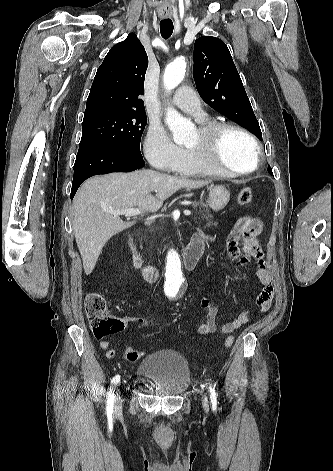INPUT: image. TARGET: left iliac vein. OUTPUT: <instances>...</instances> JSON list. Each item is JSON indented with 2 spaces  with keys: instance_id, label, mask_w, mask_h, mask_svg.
<instances>
[{
  "instance_id": "obj_1",
  "label": "left iliac vein",
  "mask_w": 333,
  "mask_h": 471,
  "mask_svg": "<svg viewBox=\"0 0 333 471\" xmlns=\"http://www.w3.org/2000/svg\"><path fill=\"white\" fill-rule=\"evenodd\" d=\"M203 407H204V410H205L206 412H208V410H209V401H208L207 395L204 396V399H203Z\"/></svg>"
}]
</instances>
